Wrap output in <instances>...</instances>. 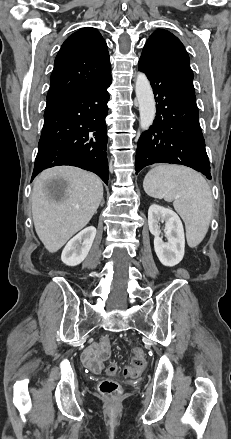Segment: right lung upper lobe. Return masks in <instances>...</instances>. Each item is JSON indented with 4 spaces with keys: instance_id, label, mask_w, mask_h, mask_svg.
<instances>
[{
    "instance_id": "obj_1",
    "label": "right lung upper lobe",
    "mask_w": 231,
    "mask_h": 439,
    "mask_svg": "<svg viewBox=\"0 0 231 439\" xmlns=\"http://www.w3.org/2000/svg\"><path fill=\"white\" fill-rule=\"evenodd\" d=\"M110 71L107 45L99 31L91 27L76 31L56 56L46 108L106 81Z\"/></svg>"
}]
</instances>
